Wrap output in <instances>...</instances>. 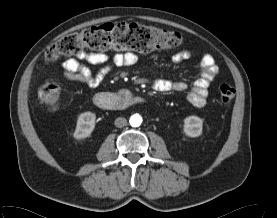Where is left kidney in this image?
<instances>
[{
    "label": "left kidney",
    "instance_id": "left-kidney-1",
    "mask_svg": "<svg viewBox=\"0 0 277 218\" xmlns=\"http://www.w3.org/2000/svg\"><path fill=\"white\" fill-rule=\"evenodd\" d=\"M203 121L198 116H188L184 119V133L189 137L202 134Z\"/></svg>",
    "mask_w": 277,
    "mask_h": 218
}]
</instances>
